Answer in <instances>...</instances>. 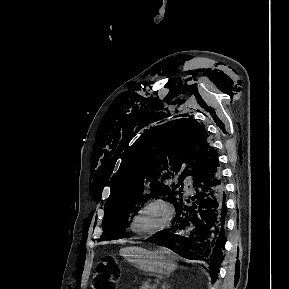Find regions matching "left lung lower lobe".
I'll return each instance as SVG.
<instances>
[{"instance_id": "1", "label": "left lung lower lobe", "mask_w": 289, "mask_h": 289, "mask_svg": "<svg viewBox=\"0 0 289 289\" xmlns=\"http://www.w3.org/2000/svg\"><path fill=\"white\" fill-rule=\"evenodd\" d=\"M225 187L219 160L213 152L203 169L193 177L192 189L174 202L176 216L172 227L150 237V242L165 246L191 260L209 265L213 281L223 260L226 215Z\"/></svg>"}]
</instances>
